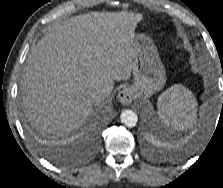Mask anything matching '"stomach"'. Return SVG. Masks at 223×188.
<instances>
[{"instance_id": "stomach-1", "label": "stomach", "mask_w": 223, "mask_h": 188, "mask_svg": "<svg viewBox=\"0 0 223 188\" xmlns=\"http://www.w3.org/2000/svg\"><path fill=\"white\" fill-rule=\"evenodd\" d=\"M134 48L132 65L134 84L130 89L136 98L149 97L163 88L166 82L165 69L153 41L148 36L136 35Z\"/></svg>"}]
</instances>
